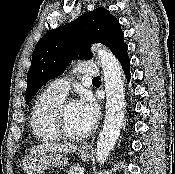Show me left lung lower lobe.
I'll list each match as a JSON object with an SVG mask.
<instances>
[{
  "label": "left lung lower lobe",
  "mask_w": 175,
  "mask_h": 174,
  "mask_svg": "<svg viewBox=\"0 0 175 174\" xmlns=\"http://www.w3.org/2000/svg\"><path fill=\"white\" fill-rule=\"evenodd\" d=\"M122 65V68L126 74L127 79H130V59L127 53V45L116 56Z\"/></svg>",
  "instance_id": "left-lung-lower-lobe-1"
}]
</instances>
